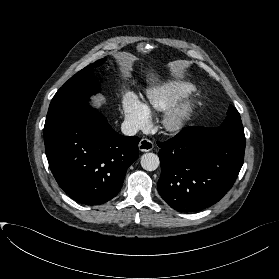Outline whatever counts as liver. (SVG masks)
Here are the masks:
<instances>
[{
    "label": "liver",
    "mask_w": 279,
    "mask_h": 279,
    "mask_svg": "<svg viewBox=\"0 0 279 279\" xmlns=\"http://www.w3.org/2000/svg\"><path fill=\"white\" fill-rule=\"evenodd\" d=\"M125 66H126V69L128 70V69L130 68L131 64H130V63H126ZM152 76H153V75H152ZM99 103H100V102H99Z\"/></svg>",
    "instance_id": "6515ba94"
}]
</instances>
